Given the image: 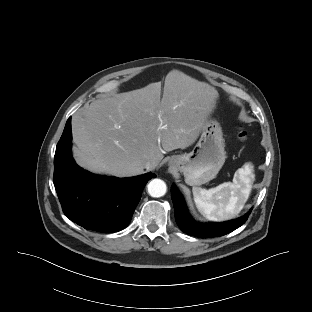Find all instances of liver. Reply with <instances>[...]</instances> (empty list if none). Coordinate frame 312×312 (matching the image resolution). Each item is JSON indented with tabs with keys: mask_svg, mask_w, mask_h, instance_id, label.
<instances>
[{
	"mask_svg": "<svg viewBox=\"0 0 312 312\" xmlns=\"http://www.w3.org/2000/svg\"><path fill=\"white\" fill-rule=\"evenodd\" d=\"M161 83L93 101L72 117L74 158L97 174L131 177L145 161L192 145L216 107L217 90L173 70Z\"/></svg>",
	"mask_w": 312,
	"mask_h": 312,
	"instance_id": "1",
	"label": "liver"
}]
</instances>
